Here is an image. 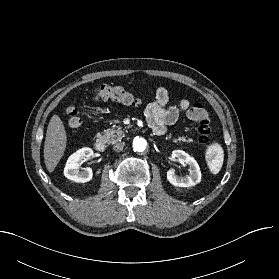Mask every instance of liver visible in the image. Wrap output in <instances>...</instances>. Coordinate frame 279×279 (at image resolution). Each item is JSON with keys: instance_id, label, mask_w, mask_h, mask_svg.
Listing matches in <instances>:
<instances>
[{"instance_id": "liver-1", "label": "liver", "mask_w": 279, "mask_h": 279, "mask_svg": "<svg viewBox=\"0 0 279 279\" xmlns=\"http://www.w3.org/2000/svg\"><path fill=\"white\" fill-rule=\"evenodd\" d=\"M67 135L58 115H53L47 127L44 143V162L47 170L52 173L64 155Z\"/></svg>"}]
</instances>
